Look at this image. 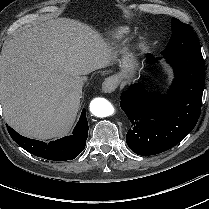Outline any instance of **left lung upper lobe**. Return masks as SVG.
Wrapping results in <instances>:
<instances>
[{"label": "left lung upper lobe", "mask_w": 209, "mask_h": 209, "mask_svg": "<svg viewBox=\"0 0 209 209\" xmlns=\"http://www.w3.org/2000/svg\"><path fill=\"white\" fill-rule=\"evenodd\" d=\"M195 46H200V43L193 29L188 24L173 18L172 36L167 47L161 52V54H171Z\"/></svg>", "instance_id": "1"}]
</instances>
